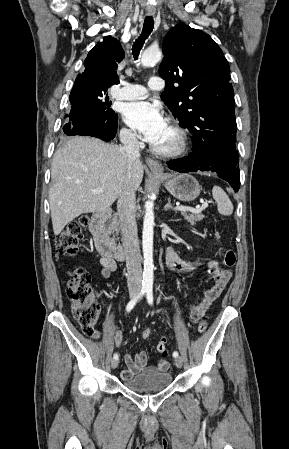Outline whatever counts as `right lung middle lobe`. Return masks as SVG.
<instances>
[{
  "label": "right lung middle lobe",
  "mask_w": 289,
  "mask_h": 449,
  "mask_svg": "<svg viewBox=\"0 0 289 449\" xmlns=\"http://www.w3.org/2000/svg\"><path fill=\"white\" fill-rule=\"evenodd\" d=\"M107 89L82 93L78 100L72 102L69 114L70 123L76 126L78 122H92L99 126H108L117 120V114L110 108ZM64 133L68 136L67 127Z\"/></svg>",
  "instance_id": "right-lung-middle-lobe-1"
}]
</instances>
